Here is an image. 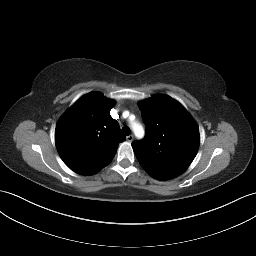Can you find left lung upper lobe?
Returning a JSON list of instances; mask_svg holds the SVG:
<instances>
[{"mask_svg": "<svg viewBox=\"0 0 256 256\" xmlns=\"http://www.w3.org/2000/svg\"><path fill=\"white\" fill-rule=\"evenodd\" d=\"M147 127L146 136L132 143L134 153L153 178L181 175L196 156L200 136L191 115L176 100L156 95L138 103Z\"/></svg>", "mask_w": 256, "mask_h": 256, "instance_id": "1", "label": "left lung upper lobe"}]
</instances>
